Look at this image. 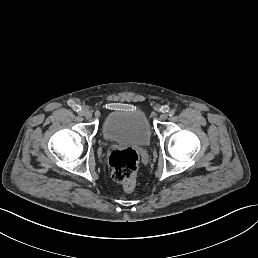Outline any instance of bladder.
Returning a JSON list of instances; mask_svg holds the SVG:
<instances>
[{"label":"bladder","instance_id":"1","mask_svg":"<svg viewBox=\"0 0 258 258\" xmlns=\"http://www.w3.org/2000/svg\"><path fill=\"white\" fill-rule=\"evenodd\" d=\"M103 137L108 142L146 146L151 128L145 113L137 108L124 107L108 113L103 121Z\"/></svg>","mask_w":258,"mask_h":258}]
</instances>
